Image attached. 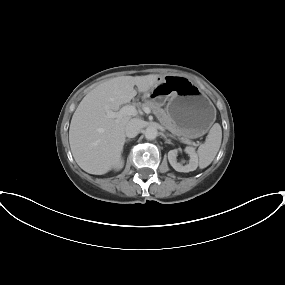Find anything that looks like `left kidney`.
I'll list each match as a JSON object with an SVG mask.
<instances>
[{
	"label": "left kidney",
	"mask_w": 285,
	"mask_h": 285,
	"mask_svg": "<svg viewBox=\"0 0 285 285\" xmlns=\"http://www.w3.org/2000/svg\"><path fill=\"white\" fill-rule=\"evenodd\" d=\"M180 150L174 149L168 152V160L171 166L178 172H190L194 171L198 167V157L193 147H186L185 152L189 155V164L182 165L177 162V155Z\"/></svg>",
	"instance_id": "left-kidney-1"
}]
</instances>
